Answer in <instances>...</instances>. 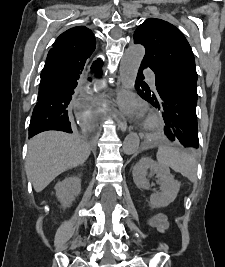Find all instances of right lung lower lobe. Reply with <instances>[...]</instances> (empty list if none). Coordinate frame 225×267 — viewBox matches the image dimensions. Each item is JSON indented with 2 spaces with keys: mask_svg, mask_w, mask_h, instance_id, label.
I'll return each instance as SVG.
<instances>
[{
  "mask_svg": "<svg viewBox=\"0 0 225 267\" xmlns=\"http://www.w3.org/2000/svg\"><path fill=\"white\" fill-rule=\"evenodd\" d=\"M94 50L75 47L50 49L41 72L38 102L32 113L29 137L47 130L72 133L69 104L77 92L76 87L81 85L88 59ZM97 67L100 64L93 67L92 75H96Z\"/></svg>",
  "mask_w": 225,
  "mask_h": 267,
  "instance_id": "right-lung-lower-lobe-1",
  "label": "right lung lower lobe"
}]
</instances>
